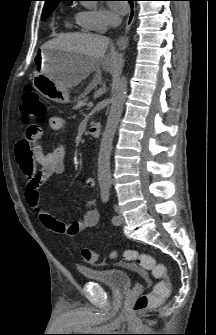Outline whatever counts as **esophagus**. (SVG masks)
I'll list each match as a JSON object with an SVG mask.
<instances>
[{"mask_svg":"<svg viewBox=\"0 0 216 335\" xmlns=\"http://www.w3.org/2000/svg\"><path fill=\"white\" fill-rule=\"evenodd\" d=\"M134 19H135V7L133 5H130L129 14L126 20L125 32H127L130 29ZM117 44L121 49H125L128 44V37L126 35L122 36L117 41Z\"/></svg>","mask_w":216,"mask_h":335,"instance_id":"obj_1","label":"esophagus"}]
</instances>
